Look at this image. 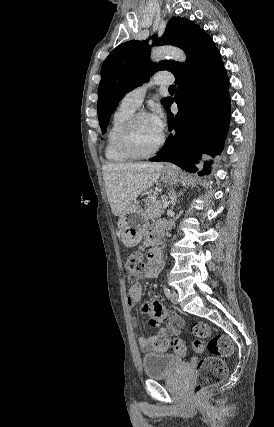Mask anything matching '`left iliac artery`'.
<instances>
[{"mask_svg": "<svg viewBox=\"0 0 274 427\" xmlns=\"http://www.w3.org/2000/svg\"><path fill=\"white\" fill-rule=\"evenodd\" d=\"M164 293H165V295H166L167 298L171 297V292H170L169 288L166 285H164Z\"/></svg>", "mask_w": 274, "mask_h": 427, "instance_id": "44dca946", "label": "left iliac artery"}]
</instances>
